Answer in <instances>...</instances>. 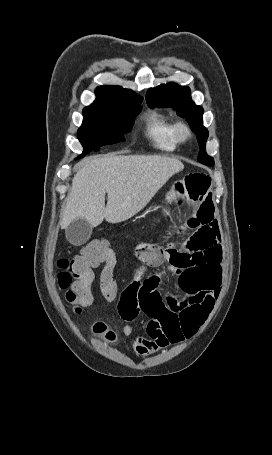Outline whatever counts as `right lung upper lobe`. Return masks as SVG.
Returning a JSON list of instances; mask_svg holds the SVG:
<instances>
[{"label": "right lung upper lobe", "mask_w": 272, "mask_h": 455, "mask_svg": "<svg viewBox=\"0 0 272 455\" xmlns=\"http://www.w3.org/2000/svg\"><path fill=\"white\" fill-rule=\"evenodd\" d=\"M96 100L84 110L112 111L117 110L142 98L129 89L118 86H99L95 90Z\"/></svg>", "instance_id": "right-lung-upper-lobe-1"}]
</instances>
